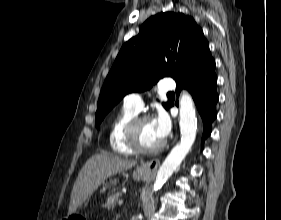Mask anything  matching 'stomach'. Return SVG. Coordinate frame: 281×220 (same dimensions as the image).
<instances>
[{
	"label": "stomach",
	"instance_id": "obj_1",
	"mask_svg": "<svg viewBox=\"0 0 281 220\" xmlns=\"http://www.w3.org/2000/svg\"><path fill=\"white\" fill-rule=\"evenodd\" d=\"M152 174H153V172L150 169L149 164H142V165L138 166L136 168V170L133 171L132 176L135 180L146 181L152 177ZM116 183H117L116 179L110 180V184H116ZM80 219H82V216H80L78 214H69L66 217V220H80Z\"/></svg>",
	"mask_w": 281,
	"mask_h": 220
}]
</instances>
